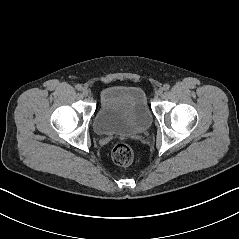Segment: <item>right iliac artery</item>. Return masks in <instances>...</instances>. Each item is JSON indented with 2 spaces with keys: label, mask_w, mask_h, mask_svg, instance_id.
Segmentation results:
<instances>
[{
  "label": "right iliac artery",
  "mask_w": 239,
  "mask_h": 239,
  "mask_svg": "<svg viewBox=\"0 0 239 239\" xmlns=\"http://www.w3.org/2000/svg\"><path fill=\"white\" fill-rule=\"evenodd\" d=\"M75 88L78 90V91H81L83 89L82 85L81 84H77L75 86Z\"/></svg>",
  "instance_id": "1"
}]
</instances>
